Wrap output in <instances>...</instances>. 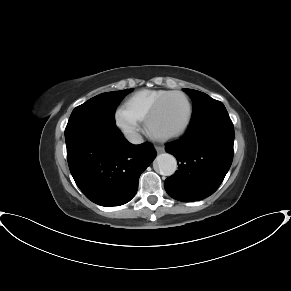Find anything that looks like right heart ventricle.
I'll use <instances>...</instances> for the list:
<instances>
[{"label": "right heart ventricle", "mask_w": 291, "mask_h": 291, "mask_svg": "<svg viewBox=\"0 0 291 291\" xmlns=\"http://www.w3.org/2000/svg\"><path fill=\"white\" fill-rule=\"evenodd\" d=\"M168 92L167 90L138 91L126 99L124 107L140 121L144 120L157 100Z\"/></svg>", "instance_id": "1"}]
</instances>
